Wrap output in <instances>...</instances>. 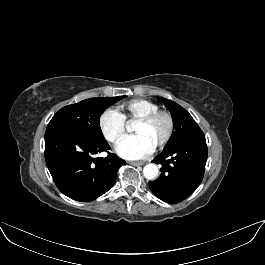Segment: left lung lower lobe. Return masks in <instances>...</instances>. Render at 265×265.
<instances>
[{
  "mask_svg": "<svg viewBox=\"0 0 265 265\" xmlns=\"http://www.w3.org/2000/svg\"><path fill=\"white\" fill-rule=\"evenodd\" d=\"M207 155L204 133L164 148L152 161L162 167L159 178L149 182L150 190L170 204L186 199L203 179Z\"/></svg>",
  "mask_w": 265,
  "mask_h": 265,
  "instance_id": "left-lung-lower-lobe-1",
  "label": "left lung lower lobe"
}]
</instances>
